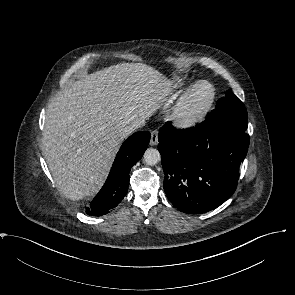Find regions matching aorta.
Wrapping results in <instances>:
<instances>
[{
    "mask_svg": "<svg viewBox=\"0 0 295 295\" xmlns=\"http://www.w3.org/2000/svg\"><path fill=\"white\" fill-rule=\"evenodd\" d=\"M160 153L157 149L149 148L144 153V160L148 165H155L160 161Z\"/></svg>",
    "mask_w": 295,
    "mask_h": 295,
    "instance_id": "obj_1",
    "label": "aorta"
}]
</instances>
